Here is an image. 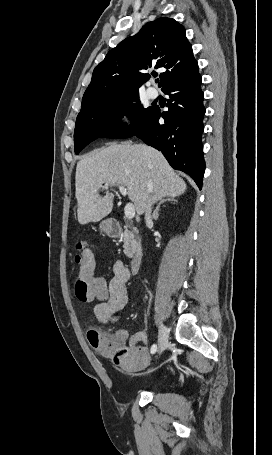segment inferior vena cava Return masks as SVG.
Returning a JSON list of instances; mask_svg holds the SVG:
<instances>
[{"label":"inferior vena cava","mask_w":272,"mask_h":455,"mask_svg":"<svg viewBox=\"0 0 272 455\" xmlns=\"http://www.w3.org/2000/svg\"><path fill=\"white\" fill-rule=\"evenodd\" d=\"M151 206H152V202L151 200L149 201L148 205L146 206V210H145V220L147 223L151 222Z\"/></svg>","instance_id":"obj_1"}]
</instances>
